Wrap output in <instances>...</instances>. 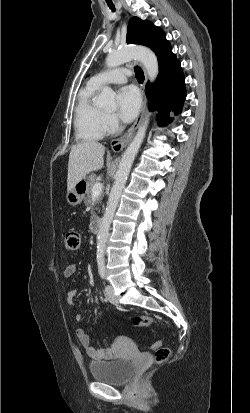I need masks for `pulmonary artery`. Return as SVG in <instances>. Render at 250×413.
<instances>
[{"label": "pulmonary artery", "instance_id": "pulmonary-artery-1", "mask_svg": "<svg viewBox=\"0 0 250 413\" xmlns=\"http://www.w3.org/2000/svg\"><path fill=\"white\" fill-rule=\"evenodd\" d=\"M131 72L124 68H115L108 71L98 73L92 78V81L98 86L106 84H121L127 81Z\"/></svg>", "mask_w": 250, "mask_h": 413}]
</instances>
